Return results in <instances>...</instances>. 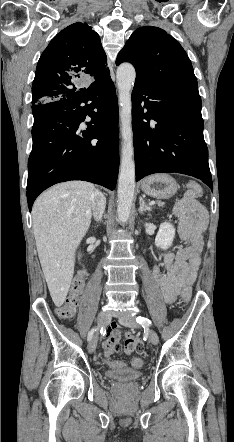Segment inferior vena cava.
Instances as JSON below:
<instances>
[{
    "label": "inferior vena cava",
    "mask_w": 234,
    "mask_h": 442,
    "mask_svg": "<svg viewBox=\"0 0 234 442\" xmlns=\"http://www.w3.org/2000/svg\"><path fill=\"white\" fill-rule=\"evenodd\" d=\"M106 198L102 192L95 190L91 198V207L96 221H101L105 211Z\"/></svg>",
    "instance_id": "obj_1"
}]
</instances>
